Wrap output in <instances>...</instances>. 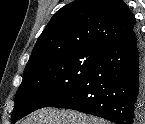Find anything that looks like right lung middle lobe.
Listing matches in <instances>:
<instances>
[{
	"mask_svg": "<svg viewBox=\"0 0 145 124\" xmlns=\"http://www.w3.org/2000/svg\"><path fill=\"white\" fill-rule=\"evenodd\" d=\"M99 52L83 51L50 60L24 74L16 93L11 122L45 107L88 73Z\"/></svg>",
	"mask_w": 145,
	"mask_h": 124,
	"instance_id": "1",
	"label": "right lung middle lobe"
}]
</instances>
